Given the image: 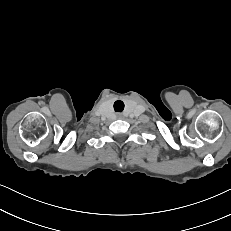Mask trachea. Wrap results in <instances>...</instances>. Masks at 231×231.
Masks as SVG:
<instances>
[{"mask_svg": "<svg viewBox=\"0 0 231 231\" xmlns=\"http://www.w3.org/2000/svg\"><path fill=\"white\" fill-rule=\"evenodd\" d=\"M114 109H115V111L121 112L124 109V103L120 100L116 101L114 103Z\"/></svg>", "mask_w": 231, "mask_h": 231, "instance_id": "3493384b", "label": "trachea"}]
</instances>
